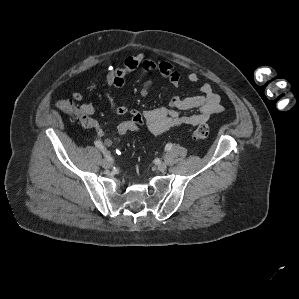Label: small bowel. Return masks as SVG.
<instances>
[{"mask_svg":"<svg viewBox=\"0 0 299 299\" xmlns=\"http://www.w3.org/2000/svg\"><path fill=\"white\" fill-rule=\"evenodd\" d=\"M137 69H141L153 77L162 76L175 87L179 85L180 74L174 70L170 62H155L146 59L143 53L127 57L123 66L117 67L105 75L104 83L107 87H122L125 84L126 77ZM198 79V75L194 72L188 75V80L191 83H196ZM154 88V79L146 80L142 85L141 95L145 97ZM200 92L199 95L189 97L175 95L170 99L168 106L143 111L130 109L127 105L122 104L116 108V113L118 115H129L130 118L138 121L141 127H146L152 134L161 135L174 127L199 125L207 121L212 115L221 113L224 110L220 96L213 91L209 84H203ZM73 98L81 101L83 94L75 91ZM81 108L89 117L94 113V107L90 103L83 104ZM86 127L94 129L98 136H103V130L96 120L91 118V123ZM105 145L110 147L112 141L108 138L105 139Z\"/></svg>","mask_w":299,"mask_h":299,"instance_id":"c3829d8e","label":"small bowel"}]
</instances>
